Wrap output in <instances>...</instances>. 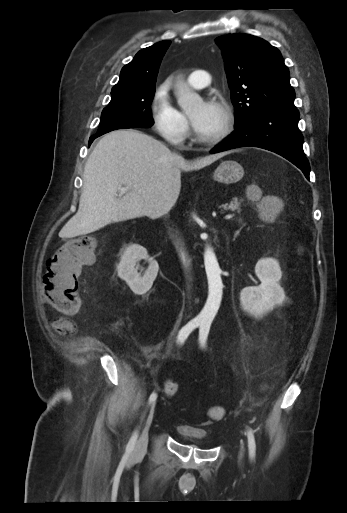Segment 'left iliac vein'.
I'll use <instances>...</instances> for the list:
<instances>
[{
    "mask_svg": "<svg viewBox=\"0 0 347 513\" xmlns=\"http://www.w3.org/2000/svg\"><path fill=\"white\" fill-rule=\"evenodd\" d=\"M242 455H243V445L241 447L240 458L242 457Z\"/></svg>",
    "mask_w": 347,
    "mask_h": 513,
    "instance_id": "obj_1",
    "label": "left iliac vein"
}]
</instances>
